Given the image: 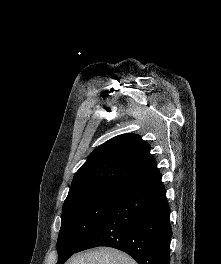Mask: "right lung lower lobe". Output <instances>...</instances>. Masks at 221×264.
Instances as JSON below:
<instances>
[{"label":"right lung lower lobe","mask_w":221,"mask_h":264,"mask_svg":"<svg viewBox=\"0 0 221 264\" xmlns=\"http://www.w3.org/2000/svg\"><path fill=\"white\" fill-rule=\"evenodd\" d=\"M170 208L157 171L127 185L103 220L75 251L122 250L139 264H170ZM68 259V258H67ZM63 260L64 264L67 260Z\"/></svg>","instance_id":"obj_1"}]
</instances>
